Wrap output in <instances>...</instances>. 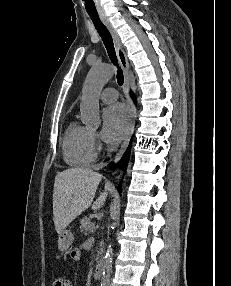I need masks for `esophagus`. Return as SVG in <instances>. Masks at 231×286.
I'll return each mask as SVG.
<instances>
[{
  "mask_svg": "<svg viewBox=\"0 0 231 286\" xmlns=\"http://www.w3.org/2000/svg\"><path fill=\"white\" fill-rule=\"evenodd\" d=\"M100 19L102 20V22L107 27V29L109 30V32L111 33V35L113 37V40L115 43L116 54H117L118 60H119L120 65L123 69V72H124V91H125L126 97H127V109H128V115H129L128 128H127L126 134L124 136L123 142L121 144V147L115 156V163H116L120 160V158L122 157V155L124 154V152L128 146V143L130 141V138L132 136L133 129H134L135 114L136 113H135V107H134V105H133V103H132V101L128 95L129 62H128L126 53L124 51V48L121 44L120 37H119L117 31L115 30V28L113 27L112 23L110 22L109 18L106 15L101 14Z\"/></svg>",
  "mask_w": 231,
  "mask_h": 286,
  "instance_id": "34e87169",
  "label": "esophagus"
}]
</instances>
